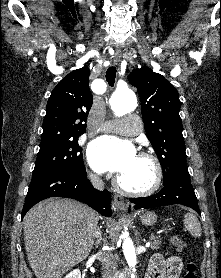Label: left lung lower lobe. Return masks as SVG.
<instances>
[{
  "mask_svg": "<svg viewBox=\"0 0 221 278\" xmlns=\"http://www.w3.org/2000/svg\"><path fill=\"white\" fill-rule=\"evenodd\" d=\"M163 188L155 195L144 198H131L135 209L153 208L164 205L182 204L194 209L200 214L188 170H181L164 180Z\"/></svg>",
  "mask_w": 221,
  "mask_h": 278,
  "instance_id": "obj_1",
  "label": "left lung lower lobe"
}]
</instances>
